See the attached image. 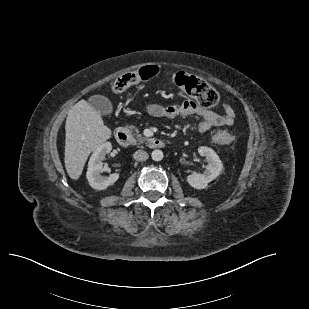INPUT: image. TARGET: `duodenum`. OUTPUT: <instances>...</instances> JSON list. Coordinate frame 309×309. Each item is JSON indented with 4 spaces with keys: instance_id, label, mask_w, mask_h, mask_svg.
<instances>
[{
    "instance_id": "duodenum-1",
    "label": "duodenum",
    "mask_w": 309,
    "mask_h": 309,
    "mask_svg": "<svg viewBox=\"0 0 309 309\" xmlns=\"http://www.w3.org/2000/svg\"><path fill=\"white\" fill-rule=\"evenodd\" d=\"M115 138L122 146H128L131 144V134L125 128H117L115 130ZM148 145L152 149L163 148L165 146V141L161 138H152L149 140Z\"/></svg>"
}]
</instances>
